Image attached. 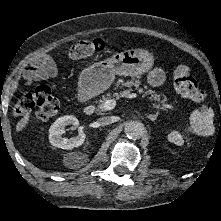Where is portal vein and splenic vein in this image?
Instances as JSON below:
<instances>
[{"instance_id": "portal-vein-and-splenic-vein-1", "label": "portal vein and splenic vein", "mask_w": 221, "mask_h": 221, "mask_svg": "<svg viewBox=\"0 0 221 221\" xmlns=\"http://www.w3.org/2000/svg\"><path fill=\"white\" fill-rule=\"evenodd\" d=\"M121 97H126V98H136V97H138V95L137 94H135V93H130V94H126V95H123V96H121ZM115 106H116V100L115 99H109V100H107L105 103H104V109L105 110H112V109H114L115 108ZM157 107H159L160 105L158 104V105H156ZM163 108H165V109H174V107L172 106V105H169V104H163V105H161Z\"/></svg>"}]
</instances>
